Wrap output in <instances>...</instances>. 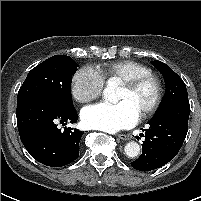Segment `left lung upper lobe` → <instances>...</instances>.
<instances>
[{
	"instance_id": "1",
	"label": "left lung upper lobe",
	"mask_w": 201,
	"mask_h": 201,
	"mask_svg": "<svg viewBox=\"0 0 201 201\" xmlns=\"http://www.w3.org/2000/svg\"><path fill=\"white\" fill-rule=\"evenodd\" d=\"M152 64L164 77L166 92L156 113L178 104H189L186 85L172 69L161 61H153Z\"/></svg>"
}]
</instances>
